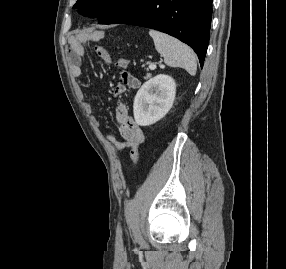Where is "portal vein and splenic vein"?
Returning a JSON list of instances; mask_svg holds the SVG:
<instances>
[{"label": "portal vein and splenic vein", "mask_w": 286, "mask_h": 269, "mask_svg": "<svg viewBox=\"0 0 286 269\" xmlns=\"http://www.w3.org/2000/svg\"><path fill=\"white\" fill-rule=\"evenodd\" d=\"M149 69H150V70H155V69H156V64L151 63V64L149 65Z\"/></svg>", "instance_id": "1"}]
</instances>
